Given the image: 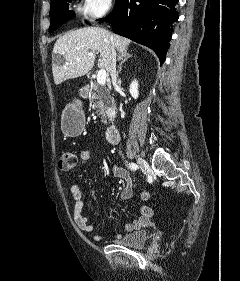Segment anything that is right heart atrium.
Masks as SVG:
<instances>
[{
    "label": "right heart atrium",
    "mask_w": 240,
    "mask_h": 281,
    "mask_svg": "<svg viewBox=\"0 0 240 281\" xmlns=\"http://www.w3.org/2000/svg\"><path fill=\"white\" fill-rule=\"evenodd\" d=\"M113 0H81L80 13L94 21L106 15L112 8Z\"/></svg>",
    "instance_id": "1"
}]
</instances>
